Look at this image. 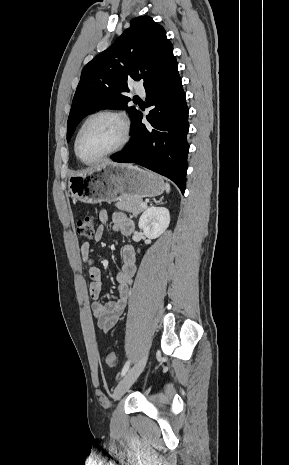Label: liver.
Here are the masks:
<instances>
[{"instance_id": "6515ba94", "label": "liver", "mask_w": 289, "mask_h": 465, "mask_svg": "<svg viewBox=\"0 0 289 465\" xmlns=\"http://www.w3.org/2000/svg\"><path fill=\"white\" fill-rule=\"evenodd\" d=\"M107 164L119 165V164L113 163L111 161H107L103 165H107ZM120 165H126V164H120Z\"/></svg>"}]
</instances>
